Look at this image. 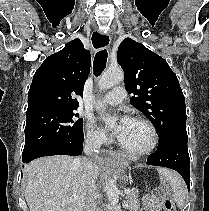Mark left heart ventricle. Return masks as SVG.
<instances>
[{"instance_id":"1","label":"left heart ventricle","mask_w":209,"mask_h":211,"mask_svg":"<svg viewBox=\"0 0 209 211\" xmlns=\"http://www.w3.org/2000/svg\"><path fill=\"white\" fill-rule=\"evenodd\" d=\"M149 141L150 134L146 126L133 121L120 143L128 149L139 150L145 148Z\"/></svg>"}]
</instances>
